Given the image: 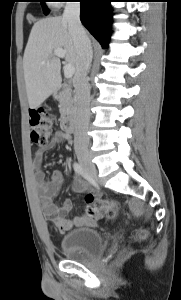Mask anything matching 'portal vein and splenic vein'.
<instances>
[{
	"mask_svg": "<svg viewBox=\"0 0 181 300\" xmlns=\"http://www.w3.org/2000/svg\"><path fill=\"white\" fill-rule=\"evenodd\" d=\"M54 55L59 58H65V51L62 48H58L54 50ZM75 67L71 64H67L64 66V76L66 78H71L74 75Z\"/></svg>",
	"mask_w": 181,
	"mask_h": 300,
	"instance_id": "obj_1",
	"label": "portal vein and splenic vein"
}]
</instances>
